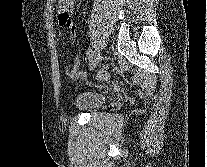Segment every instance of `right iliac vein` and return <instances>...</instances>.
I'll use <instances>...</instances> for the list:
<instances>
[{
	"mask_svg": "<svg viewBox=\"0 0 207 167\" xmlns=\"http://www.w3.org/2000/svg\"><path fill=\"white\" fill-rule=\"evenodd\" d=\"M101 58H102L101 51L99 49H96L90 59V63H89L90 70H93L99 64Z\"/></svg>",
	"mask_w": 207,
	"mask_h": 167,
	"instance_id": "63e3f726",
	"label": "right iliac vein"
}]
</instances>
